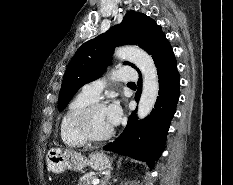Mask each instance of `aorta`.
Returning <instances> with one entry per match:
<instances>
[{"label": "aorta", "instance_id": "obj_1", "mask_svg": "<svg viewBox=\"0 0 233 185\" xmlns=\"http://www.w3.org/2000/svg\"><path fill=\"white\" fill-rule=\"evenodd\" d=\"M115 57L132 62L142 73L143 87L137 115L143 119L154 108L159 92L158 74L153 59L144 50L133 46L118 48L115 51Z\"/></svg>", "mask_w": 233, "mask_h": 185}]
</instances>
